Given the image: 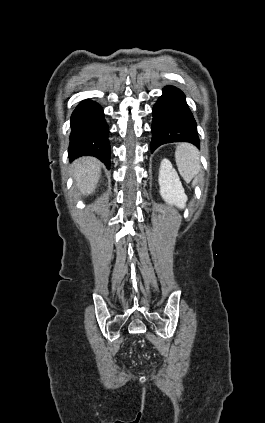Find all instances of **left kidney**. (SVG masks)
<instances>
[{
	"label": "left kidney",
	"instance_id": "1",
	"mask_svg": "<svg viewBox=\"0 0 265 423\" xmlns=\"http://www.w3.org/2000/svg\"><path fill=\"white\" fill-rule=\"evenodd\" d=\"M160 195L165 202L182 209L187 201L184 188L168 159H163L159 169Z\"/></svg>",
	"mask_w": 265,
	"mask_h": 423
}]
</instances>
